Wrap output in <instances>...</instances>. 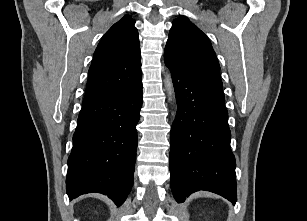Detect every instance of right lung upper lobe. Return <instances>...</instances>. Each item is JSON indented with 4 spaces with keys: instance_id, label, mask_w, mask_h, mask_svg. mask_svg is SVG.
Returning a JSON list of instances; mask_svg holds the SVG:
<instances>
[{
    "instance_id": "obj_1",
    "label": "right lung upper lobe",
    "mask_w": 307,
    "mask_h": 221,
    "mask_svg": "<svg viewBox=\"0 0 307 221\" xmlns=\"http://www.w3.org/2000/svg\"><path fill=\"white\" fill-rule=\"evenodd\" d=\"M135 20L124 16L102 37L95 50L83 104L125 91L142 80Z\"/></svg>"
}]
</instances>
